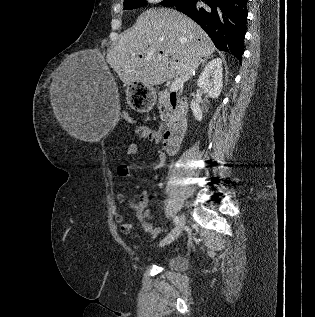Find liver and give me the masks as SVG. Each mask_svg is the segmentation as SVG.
Segmentation results:
<instances>
[{
    "mask_svg": "<svg viewBox=\"0 0 315 317\" xmlns=\"http://www.w3.org/2000/svg\"><path fill=\"white\" fill-rule=\"evenodd\" d=\"M214 51L211 39L189 17L169 8H151L108 50L107 62L125 85L137 82L153 86L173 78L188 80L203 58ZM69 64L67 59L61 69ZM52 106L63 129L82 139L81 121L55 97Z\"/></svg>",
    "mask_w": 315,
    "mask_h": 317,
    "instance_id": "liver-1",
    "label": "liver"
}]
</instances>
